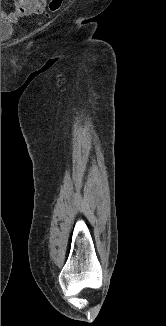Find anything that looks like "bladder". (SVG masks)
<instances>
[{
  "instance_id": "bladder-1",
  "label": "bladder",
  "mask_w": 166,
  "mask_h": 326,
  "mask_svg": "<svg viewBox=\"0 0 166 326\" xmlns=\"http://www.w3.org/2000/svg\"><path fill=\"white\" fill-rule=\"evenodd\" d=\"M13 31H14L13 23L1 19V42H5L9 40L13 35Z\"/></svg>"
}]
</instances>
